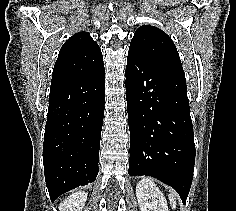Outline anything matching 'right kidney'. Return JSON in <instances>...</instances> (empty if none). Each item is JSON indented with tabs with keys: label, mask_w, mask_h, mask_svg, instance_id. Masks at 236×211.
<instances>
[{
	"label": "right kidney",
	"mask_w": 236,
	"mask_h": 211,
	"mask_svg": "<svg viewBox=\"0 0 236 211\" xmlns=\"http://www.w3.org/2000/svg\"><path fill=\"white\" fill-rule=\"evenodd\" d=\"M88 193L85 191L75 192L66 197L60 204V211H82L87 200Z\"/></svg>",
	"instance_id": "right-kidney-1"
}]
</instances>
